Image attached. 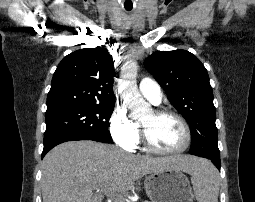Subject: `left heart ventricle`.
<instances>
[{
	"label": "left heart ventricle",
	"instance_id": "1",
	"mask_svg": "<svg viewBox=\"0 0 255 202\" xmlns=\"http://www.w3.org/2000/svg\"><path fill=\"white\" fill-rule=\"evenodd\" d=\"M141 122L148 128L150 139L157 148L174 150L184 144V130L176 118L156 117L152 111Z\"/></svg>",
	"mask_w": 255,
	"mask_h": 202
}]
</instances>
